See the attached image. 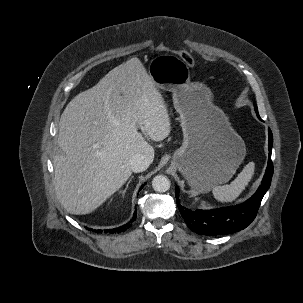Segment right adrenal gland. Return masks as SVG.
Here are the masks:
<instances>
[{"label": "right adrenal gland", "mask_w": 303, "mask_h": 303, "mask_svg": "<svg viewBox=\"0 0 303 303\" xmlns=\"http://www.w3.org/2000/svg\"><path fill=\"white\" fill-rule=\"evenodd\" d=\"M133 178H134V176H131L130 179H129V181L127 182L126 188H125V189L123 190V192H122L123 195L126 193L128 187H129V184H130V182L132 181Z\"/></svg>", "instance_id": "1"}]
</instances>
